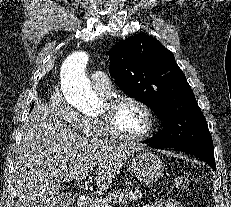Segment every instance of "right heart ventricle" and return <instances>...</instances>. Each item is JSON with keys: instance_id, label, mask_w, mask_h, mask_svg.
Returning a JSON list of instances; mask_svg holds the SVG:
<instances>
[{"instance_id": "right-heart-ventricle-1", "label": "right heart ventricle", "mask_w": 231, "mask_h": 207, "mask_svg": "<svg viewBox=\"0 0 231 207\" xmlns=\"http://www.w3.org/2000/svg\"><path fill=\"white\" fill-rule=\"evenodd\" d=\"M101 94L106 95L105 93ZM82 132L85 137L91 139H103L108 137L98 118H84V127Z\"/></svg>"}]
</instances>
